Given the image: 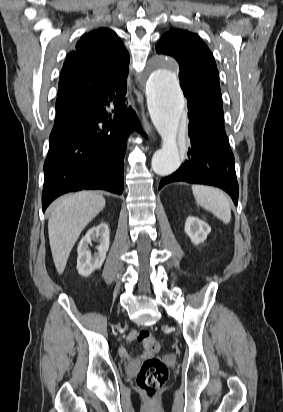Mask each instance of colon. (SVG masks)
Returning a JSON list of instances; mask_svg holds the SVG:
<instances>
[{
  "mask_svg": "<svg viewBox=\"0 0 283 412\" xmlns=\"http://www.w3.org/2000/svg\"><path fill=\"white\" fill-rule=\"evenodd\" d=\"M137 341L148 351L159 350V341L147 330H140L136 334ZM168 379V368L159 358L146 359L137 376V385L144 395L154 401Z\"/></svg>",
  "mask_w": 283,
  "mask_h": 412,
  "instance_id": "colon-1",
  "label": "colon"
}]
</instances>
